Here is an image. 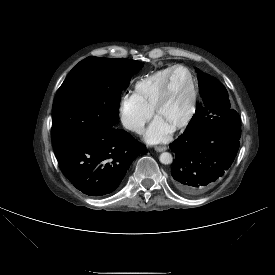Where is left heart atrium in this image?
Returning a JSON list of instances; mask_svg holds the SVG:
<instances>
[{
  "label": "left heart atrium",
  "mask_w": 275,
  "mask_h": 275,
  "mask_svg": "<svg viewBox=\"0 0 275 275\" xmlns=\"http://www.w3.org/2000/svg\"><path fill=\"white\" fill-rule=\"evenodd\" d=\"M173 127L156 117L144 132V140L149 144L162 143L168 140Z\"/></svg>",
  "instance_id": "obj_1"
}]
</instances>
